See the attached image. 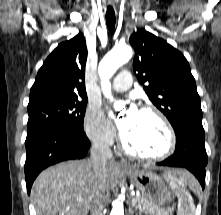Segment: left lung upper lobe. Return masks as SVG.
Segmentation results:
<instances>
[{
  "mask_svg": "<svg viewBox=\"0 0 221 215\" xmlns=\"http://www.w3.org/2000/svg\"><path fill=\"white\" fill-rule=\"evenodd\" d=\"M130 44L138 81L174 131L184 121L202 122L200 97L184 55L144 29L131 35Z\"/></svg>",
  "mask_w": 221,
  "mask_h": 215,
  "instance_id": "left-lung-upper-lobe-1",
  "label": "left lung upper lobe"
}]
</instances>
